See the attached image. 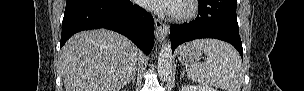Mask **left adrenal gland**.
I'll list each match as a JSON object with an SVG mask.
<instances>
[{"label":"left adrenal gland","instance_id":"obj_1","mask_svg":"<svg viewBox=\"0 0 304 91\" xmlns=\"http://www.w3.org/2000/svg\"><path fill=\"white\" fill-rule=\"evenodd\" d=\"M185 76V71L183 70V72L180 75V78H183Z\"/></svg>","mask_w":304,"mask_h":91}]
</instances>
